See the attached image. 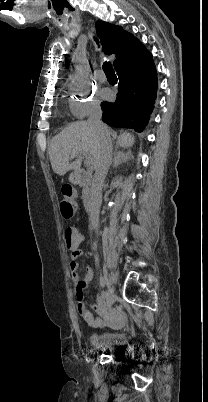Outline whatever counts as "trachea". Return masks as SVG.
<instances>
[{
    "mask_svg": "<svg viewBox=\"0 0 208 402\" xmlns=\"http://www.w3.org/2000/svg\"><path fill=\"white\" fill-rule=\"evenodd\" d=\"M95 41H96L97 44H99L97 39H95ZM103 70H104V73H105L106 77H108V78H117L111 63L104 62L103 63Z\"/></svg>",
    "mask_w": 208,
    "mask_h": 402,
    "instance_id": "trachea-1",
    "label": "trachea"
}]
</instances>
